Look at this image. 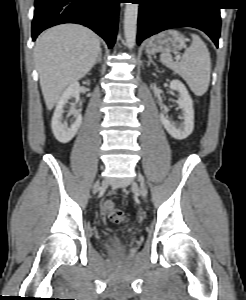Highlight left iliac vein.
<instances>
[{
  "instance_id": "1",
  "label": "left iliac vein",
  "mask_w": 246,
  "mask_h": 300,
  "mask_svg": "<svg viewBox=\"0 0 246 300\" xmlns=\"http://www.w3.org/2000/svg\"><path fill=\"white\" fill-rule=\"evenodd\" d=\"M138 181H139V184H140L139 185V192H140L141 196L143 198H145L146 195H147V191H146V188H145L144 179L141 175L138 176Z\"/></svg>"
}]
</instances>
